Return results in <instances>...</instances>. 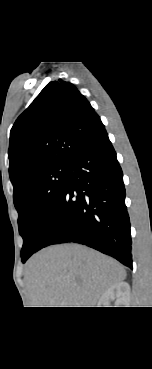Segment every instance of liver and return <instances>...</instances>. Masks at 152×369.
I'll use <instances>...</instances> for the list:
<instances>
[{
  "instance_id": "1",
  "label": "liver",
  "mask_w": 152,
  "mask_h": 369,
  "mask_svg": "<svg viewBox=\"0 0 152 369\" xmlns=\"http://www.w3.org/2000/svg\"><path fill=\"white\" fill-rule=\"evenodd\" d=\"M125 278L116 260L78 244L43 249L28 261L25 274L31 307H94Z\"/></svg>"
}]
</instances>
